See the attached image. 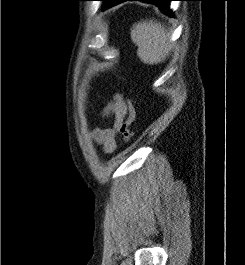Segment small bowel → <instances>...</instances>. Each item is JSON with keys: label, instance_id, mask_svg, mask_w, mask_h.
Listing matches in <instances>:
<instances>
[{"label": "small bowel", "instance_id": "1", "mask_svg": "<svg viewBox=\"0 0 245 265\" xmlns=\"http://www.w3.org/2000/svg\"><path fill=\"white\" fill-rule=\"evenodd\" d=\"M104 118H114L112 127H96L92 130L91 136L96 144L100 145L106 153H111L116 148V139L119 127L127 115V102L121 94H116L108 101L102 112Z\"/></svg>", "mask_w": 245, "mask_h": 265}]
</instances>
